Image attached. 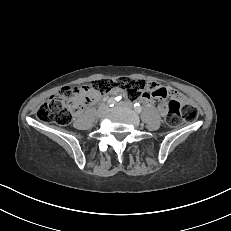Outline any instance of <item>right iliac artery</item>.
Here are the masks:
<instances>
[{
	"label": "right iliac artery",
	"mask_w": 231,
	"mask_h": 231,
	"mask_svg": "<svg viewBox=\"0 0 231 231\" xmlns=\"http://www.w3.org/2000/svg\"><path fill=\"white\" fill-rule=\"evenodd\" d=\"M119 100H121V97L120 96H117V97H111L109 100H108V105L110 107H113Z\"/></svg>",
	"instance_id": "right-iliac-artery-1"
}]
</instances>
